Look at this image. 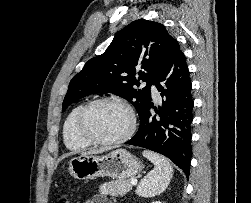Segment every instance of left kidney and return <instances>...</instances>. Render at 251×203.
Listing matches in <instances>:
<instances>
[{
  "label": "left kidney",
  "instance_id": "obj_1",
  "mask_svg": "<svg viewBox=\"0 0 251 203\" xmlns=\"http://www.w3.org/2000/svg\"><path fill=\"white\" fill-rule=\"evenodd\" d=\"M152 203H161L160 201H155V202H152Z\"/></svg>",
  "mask_w": 251,
  "mask_h": 203
}]
</instances>
